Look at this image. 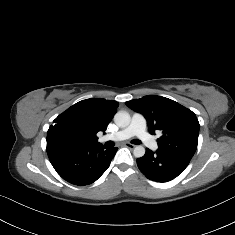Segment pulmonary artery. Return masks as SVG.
<instances>
[{
	"label": "pulmonary artery",
	"mask_w": 235,
	"mask_h": 235,
	"mask_svg": "<svg viewBox=\"0 0 235 235\" xmlns=\"http://www.w3.org/2000/svg\"><path fill=\"white\" fill-rule=\"evenodd\" d=\"M147 122L145 117L140 113H134L131 117L130 123L123 129L106 134L102 136L99 141H115L120 142L131 137L138 136L148 142V146L152 150H156L157 146L151 141L150 135L146 131Z\"/></svg>",
	"instance_id": "pulmonary-artery-1"
}]
</instances>
